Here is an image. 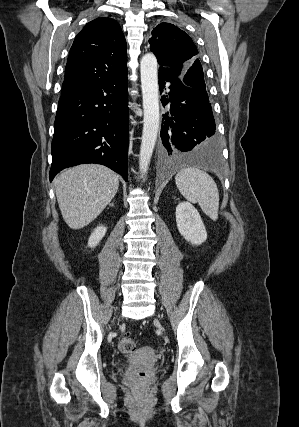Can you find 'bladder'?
Wrapping results in <instances>:
<instances>
[{
    "mask_svg": "<svg viewBox=\"0 0 299 427\" xmlns=\"http://www.w3.org/2000/svg\"><path fill=\"white\" fill-rule=\"evenodd\" d=\"M125 366V364L124 363H116V365H115V368H116V370H119V369H121V368H123Z\"/></svg>",
    "mask_w": 299,
    "mask_h": 427,
    "instance_id": "bladder-1",
    "label": "bladder"
}]
</instances>
